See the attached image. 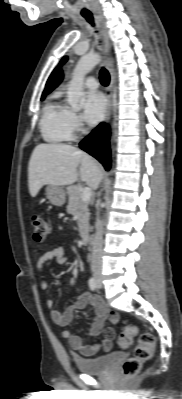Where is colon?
<instances>
[{
    "mask_svg": "<svg viewBox=\"0 0 182 399\" xmlns=\"http://www.w3.org/2000/svg\"><path fill=\"white\" fill-rule=\"evenodd\" d=\"M32 237L36 242H42L49 233V224L39 214H35L31 220ZM138 334V328L135 325H126L119 334L118 343L122 348L129 347L133 339ZM155 348V338L151 333H142L139 336V342L135 347L134 355L127 359L122 365V373L131 376L139 372L143 363L149 361Z\"/></svg>",
    "mask_w": 182,
    "mask_h": 399,
    "instance_id": "1",
    "label": "colon"
}]
</instances>
